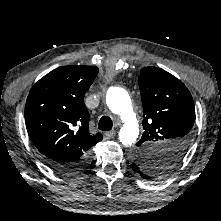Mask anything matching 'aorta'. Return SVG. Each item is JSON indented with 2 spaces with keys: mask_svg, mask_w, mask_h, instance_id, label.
<instances>
[{
  "mask_svg": "<svg viewBox=\"0 0 221 221\" xmlns=\"http://www.w3.org/2000/svg\"><path fill=\"white\" fill-rule=\"evenodd\" d=\"M106 104L112 113L120 116L122 122L120 142L125 146L135 143L139 135V126L128 93L122 88H110L107 91Z\"/></svg>",
  "mask_w": 221,
  "mask_h": 221,
  "instance_id": "1",
  "label": "aorta"
}]
</instances>
